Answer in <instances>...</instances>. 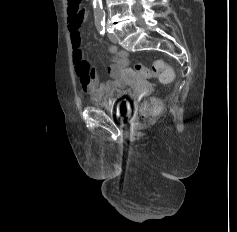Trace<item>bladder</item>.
Masks as SVG:
<instances>
[{
    "label": "bladder",
    "mask_w": 237,
    "mask_h": 232,
    "mask_svg": "<svg viewBox=\"0 0 237 232\" xmlns=\"http://www.w3.org/2000/svg\"><path fill=\"white\" fill-rule=\"evenodd\" d=\"M130 91L124 90L119 100L113 104L103 103L102 106L111 110L117 117H125L131 111Z\"/></svg>",
    "instance_id": "bladder-1"
}]
</instances>
